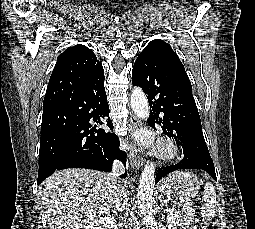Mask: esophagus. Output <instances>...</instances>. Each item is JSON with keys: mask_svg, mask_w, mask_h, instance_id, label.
<instances>
[{"mask_svg": "<svg viewBox=\"0 0 255 229\" xmlns=\"http://www.w3.org/2000/svg\"><path fill=\"white\" fill-rule=\"evenodd\" d=\"M140 126H141V123L139 119L136 116L132 115L130 117L131 131L138 129ZM129 158H130L131 165L134 169L138 170L143 165V159L141 155L138 153V149L135 145H133L130 150Z\"/></svg>", "mask_w": 255, "mask_h": 229, "instance_id": "obj_1", "label": "esophagus"}]
</instances>
